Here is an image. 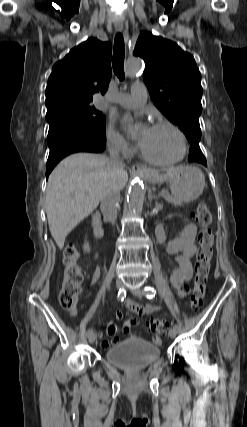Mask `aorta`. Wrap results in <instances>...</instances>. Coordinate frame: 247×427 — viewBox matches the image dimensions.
Segmentation results:
<instances>
[{"label": "aorta", "mask_w": 247, "mask_h": 427, "mask_svg": "<svg viewBox=\"0 0 247 427\" xmlns=\"http://www.w3.org/2000/svg\"><path fill=\"white\" fill-rule=\"evenodd\" d=\"M142 61L139 58H129L126 62V74L129 77L136 76L142 69ZM145 191L142 181L138 177H134L129 186L127 194V204L129 210L133 213L137 212L143 205Z\"/></svg>", "instance_id": "1"}]
</instances>
